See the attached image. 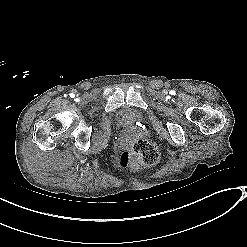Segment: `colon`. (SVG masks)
I'll return each mask as SVG.
<instances>
[{"instance_id":"obj_1","label":"colon","mask_w":247,"mask_h":247,"mask_svg":"<svg viewBox=\"0 0 247 247\" xmlns=\"http://www.w3.org/2000/svg\"><path fill=\"white\" fill-rule=\"evenodd\" d=\"M160 158L157 147L146 140H141L134 145L132 151L124 152L121 156V165L128 168L148 167L158 163Z\"/></svg>"}]
</instances>
